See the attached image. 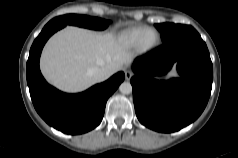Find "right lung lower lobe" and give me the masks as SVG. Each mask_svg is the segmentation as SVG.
<instances>
[{"label": "right lung lower lobe", "instance_id": "right-lung-lower-lobe-1", "mask_svg": "<svg viewBox=\"0 0 238 158\" xmlns=\"http://www.w3.org/2000/svg\"><path fill=\"white\" fill-rule=\"evenodd\" d=\"M63 27V24L46 25L33 42L26 66L27 84L36 111L50 126L66 134H82L100 124L108 98L125 75L118 72L78 94H66L50 86L39 69L40 54L48 38Z\"/></svg>", "mask_w": 238, "mask_h": 158}]
</instances>
